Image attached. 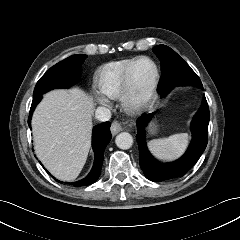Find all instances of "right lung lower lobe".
<instances>
[{
  "label": "right lung lower lobe",
  "instance_id": "98d812e1",
  "mask_svg": "<svg viewBox=\"0 0 240 240\" xmlns=\"http://www.w3.org/2000/svg\"><path fill=\"white\" fill-rule=\"evenodd\" d=\"M41 99H42V94L36 95L33 97L32 105H31V109H30V115L28 118L29 127L31 126L32 113H33L36 105L40 102ZM110 126H111L110 122H104L93 128L92 146H93V150H94V154H95V160H94L92 170L85 178H83L77 182H72V183H68V184H71L75 187H80V186L90 185L98 179V177L100 176V173H101V167H102V163H103V159H104V149L112 137L111 132H110ZM58 182H60V181H58ZM60 183H62V182H60Z\"/></svg>",
  "mask_w": 240,
  "mask_h": 240
}]
</instances>
